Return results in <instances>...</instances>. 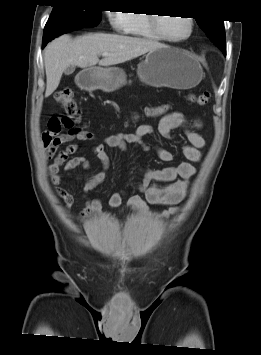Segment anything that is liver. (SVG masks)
Here are the masks:
<instances>
[{
  "label": "liver",
  "instance_id": "liver-1",
  "mask_svg": "<svg viewBox=\"0 0 261 355\" xmlns=\"http://www.w3.org/2000/svg\"><path fill=\"white\" fill-rule=\"evenodd\" d=\"M164 45L153 40L118 34L94 33L72 39L62 35L50 42L44 51L46 71L45 97L58 87L62 74L70 65L93 68L124 63ZM109 56L99 60L103 53Z\"/></svg>",
  "mask_w": 261,
  "mask_h": 355
}]
</instances>
